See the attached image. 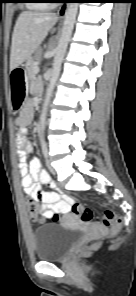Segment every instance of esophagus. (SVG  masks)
I'll return each instance as SVG.
<instances>
[{"label": "esophagus", "instance_id": "obj_1", "mask_svg": "<svg viewBox=\"0 0 136 296\" xmlns=\"http://www.w3.org/2000/svg\"><path fill=\"white\" fill-rule=\"evenodd\" d=\"M68 5L65 3L63 4L58 10V18L62 20L65 17Z\"/></svg>", "mask_w": 136, "mask_h": 296}]
</instances>
